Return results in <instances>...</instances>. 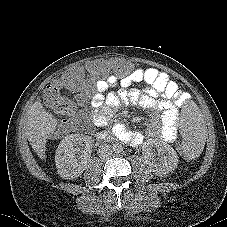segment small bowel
Wrapping results in <instances>:
<instances>
[{"instance_id": "1", "label": "small bowel", "mask_w": 227, "mask_h": 227, "mask_svg": "<svg viewBox=\"0 0 227 227\" xmlns=\"http://www.w3.org/2000/svg\"><path fill=\"white\" fill-rule=\"evenodd\" d=\"M143 83L142 89L131 87ZM113 87H120L119 94H110ZM82 105L92 108V121L96 126L108 124L112 111L120 101L139 106L154 113L150 119L146 135L173 142L178 134V107L186 97L178 84L168 74L156 68H136L125 76L110 75L97 80L94 91L84 88L77 96ZM113 135L130 145H140L145 135L130 130L124 123H116Z\"/></svg>"}]
</instances>
